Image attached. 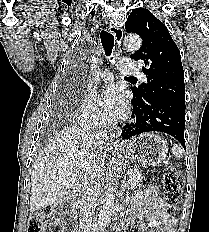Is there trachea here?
I'll use <instances>...</instances> for the list:
<instances>
[{"label": "trachea", "mask_w": 209, "mask_h": 232, "mask_svg": "<svg viewBox=\"0 0 209 232\" xmlns=\"http://www.w3.org/2000/svg\"><path fill=\"white\" fill-rule=\"evenodd\" d=\"M101 43L105 50L106 56H110L114 47V35L103 30L100 33ZM131 80H135L134 77H126Z\"/></svg>", "instance_id": "3493384b"}]
</instances>
